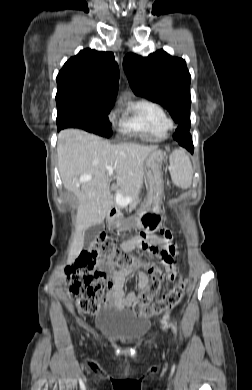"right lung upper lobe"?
Instances as JSON below:
<instances>
[{
  "label": "right lung upper lobe",
  "instance_id": "right-lung-upper-lobe-1",
  "mask_svg": "<svg viewBox=\"0 0 252 390\" xmlns=\"http://www.w3.org/2000/svg\"><path fill=\"white\" fill-rule=\"evenodd\" d=\"M119 79L112 52L81 50L57 75L56 103L108 104L113 106Z\"/></svg>",
  "mask_w": 252,
  "mask_h": 390
}]
</instances>
